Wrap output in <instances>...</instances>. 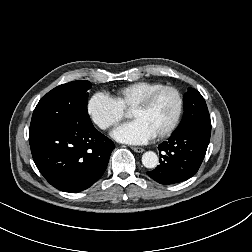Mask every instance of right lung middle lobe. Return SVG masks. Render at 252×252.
<instances>
[{
	"label": "right lung middle lobe",
	"instance_id": "right-lung-middle-lobe-1",
	"mask_svg": "<svg viewBox=\"0 0 252 252\" xmlns=\"http://www.w3.org/2000/svg\"><path fill=\"white\" fill-rule=\"evenodd\" d=\"M91 83L87 80L73 81L57 86L37 104L30 128L61 122L92 125L87 111V92Z\"/></svg>",
	"mask_w": 252,
	"mask_h": 252
}]
</instances>
